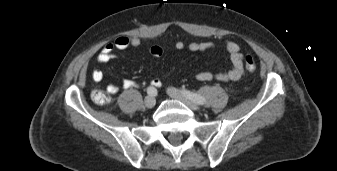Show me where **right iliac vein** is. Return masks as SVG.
Here are the masks:
<instances>
[{
  "label": "right iliac vein",
  "mask_w": 337,
  "mask_h": 171,
  "mask_svg": "<svg viewBox=\"0 0 337 171\" xmlns=\"http://www.w3.org/2000/svg\"><path fill=\"white\" fill-rule=\"evenodd\" d=\"M144 104L147 108H153L156 104V99L154 96H147L144 100Z\"/></svg>",
  "instance_id": "obj_1"
}]
</instances>
